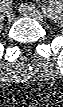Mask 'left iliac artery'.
<instances>
[{
  "label": "left iliac artery",
  "instance_id": "obj_1",
  "mask_svg": "<svg viewBox=\"0 0 63 107\" xmlns=\"http://www.w3.org/2000/svg\"><path fill=\"white\" fill-rule=\"evenodd\" d=\"M44 16L50 17L51 16V9L50 8H44L43 9Z\"/></svg>",
  "mask_w": 63,
  "mask_h": 107
}]
</instances>
